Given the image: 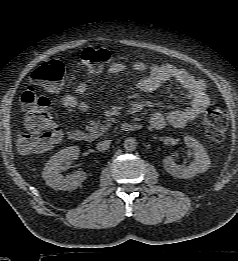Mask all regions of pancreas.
<instances>
[{
	"instance_id": "pancreas-1",
	"label": "pancreas",
	"mask_w": 238,
	"mask_h": 261,
	"mask_svg": "<svg viewBox=\"0 0 238 261\" xmlns=\"http://www.w3.org/2000/svg\"><path fill=\"white\" fill-rule=\"evenodd\" d=\"M111 121L112 119H107L104 121V124L101 123L100 120H98L97 122L91 121L89 124L90 126H87L86 130L94 135L99 136L105 133L111 127Z\"/></svg>"
}]
</instances>
